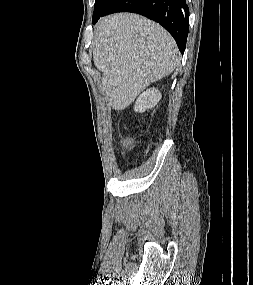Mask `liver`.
I'll list each match as a JSON object with an SVG mask.
<instances>
[{"mask_svg": "<svg viewBox=\"0 0 253 285\" xmlns=\"http://www.w3.org/2000/svg\"><path fill=\"white\" fill-rule=\"evenodd\" d=\"M93 61L115 110L128 107L148 85L179 63L177 45L158 23L132 13L102 18L95 27Z\"/></svg>", "mask_w": 253, "mask_h": 285, "instance_id": "liver-1", "label": "liver"}]
</instances>
